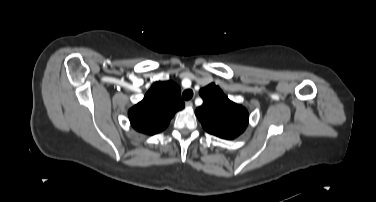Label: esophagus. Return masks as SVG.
Returning <instances> with one entry per match:
<instances>
[{"label":"esophagus","instance_id":"34e87169","mask_svg":"<svg viewBox=\"0 0 376 202\" xmlns=\"http://www.w3.org/2000/svg\"><path fill=\"white\" fill-rule=\"evenodd\" d=\"M185 105H186V107L191 108V107H193V102L192 101H187L185 103Z\"/></svg>","mask_w":376,"mask_h":202}]
</instances>
